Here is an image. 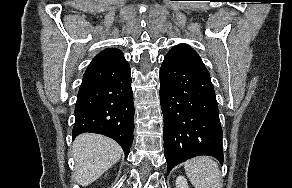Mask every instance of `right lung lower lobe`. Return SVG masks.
<instances>
[{"mask_svg":"<svg viewBox=\"0 0 292 188\" xmlns=\"http://www.w3.org/2000/svg\"><path fill=\"white\" fill-rule=\"evenodd\" d=\"M131 69L123 53L94 58L78 91L72 136L102 134L117 141L127 156L133 142Z\"/></svg>","mask_w":292,"mask_h":188,"instance_id":"98d812e1","label":"right lung lower lobe"}]
</instances>
